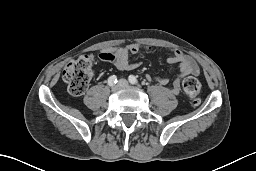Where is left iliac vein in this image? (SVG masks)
Segmentation results:
<instances>
[{
  "instance_id": "1",
  "label": "left iliac vein",
  "mask_w": 256,
  "mask_h": 171,
  "mask_svg": "<svg viewBox=\"0 0 256 171\" xmlns=\"http://www.w3.org/2000/svg\"><path fill=\"white\" fill-rule=\"evenodd\" d=\"M118 84L120 87H126V86H128V81L125 79H120Z\"/></svg>"
}]
</instances>
